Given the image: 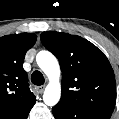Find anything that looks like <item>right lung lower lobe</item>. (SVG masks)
I'll use <instances>...</instances> for the list:
<instances>
[{
  "label": "right lung lower lobe",
  "instance_id": "98d812e1",
  "mask_svg": "<svg viewBox=\"0 0 119 119\" xmlns=\"http://www.w3.org/2000/svg\"><path fill=\"white\" fill-rule=\"evenodd\" d=\"M35 102L36 99H33L28 104L20 108L4 111L3 113L0 114V119H27L28 114L32 109V107L34 106Z\"/></svg>",
  "mask_w": 119,
  "mask_h": 119
}]
</instances>
